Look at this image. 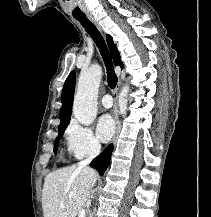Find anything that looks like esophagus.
Here are the masks:
<instances>
[{"label":"esophagus","instance_id":"obj_1","mask_svg":"<svg viewBox=\"0 0 211 217\" xmlns=\"http://www.w3.org/2000/svg\"><path fill=\"white\" fill-rule=\"evenodd\" d=\"M87 18L96 26V28L101 31V26L98 23V21L96 20V18L92 15V14H88ZM120 84L121 82H118V85L115 89L114 92V99H115V103H114V109H113V114H114V121H115V133H114V137L112 139V143L116 142L118 133H119V116H118V95H119V89H120Z\"/></svg>","mask_w":211,"mask_h":217}]
</instances>
